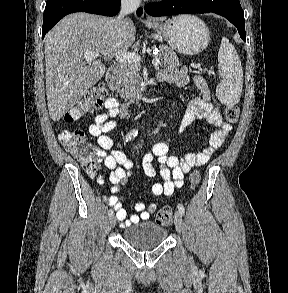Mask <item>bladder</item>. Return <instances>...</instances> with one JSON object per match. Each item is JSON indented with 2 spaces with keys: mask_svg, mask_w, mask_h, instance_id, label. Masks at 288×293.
I'll return each mask as SVG.
<instances>
[{
  "mask_svg": "<svg viewBox=\"0 0 288 293\" xmlns=\"http://www.w3.org/2000/svg\"><path fill=\"white\" fill-rule=\"evenodd\" d=\"M123 239L131 246L149 249L162 244L167 238V230L154 222L144 221L126 227Z\"/></svg>",
  "mask_w": 288,
  "mask_h": 293,
  "instance_id": "1",
  "label": "bladder"
}]
</instances>
